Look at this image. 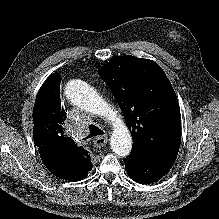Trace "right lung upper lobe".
<instances>
[{
  "label": "right lung upper lobe",
  "instance_id": "1",
  "mask_svg": "<svg viewBox=\"0 0 219 219\" xmlns=\"http://www.w3.org/2000/svg\"><path fill=\"white\" fill-rule=\"evenodd\" d=\"M59 73L40 88L33 108V137L45 166L57 177L79 181L92 169L88 152L64 134L66 113L61 106Z\"/></svg>",
  "mask_w": 219,
  "mask_h": 219
}]
</instances>
